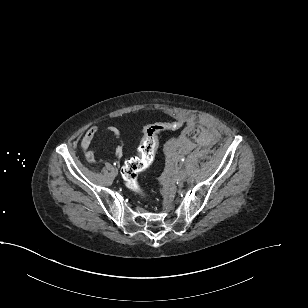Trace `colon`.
Segmentation results:
<instances>
[{
    "instance_id": "colon-1",
    "label": "colon",
    "mask_w": 308,
    "mask_h": 308,
    "mask_svg": "<svg viewBox=\"0 0 308 308\" xmlns=\"http://www.w3.org/2000/svg\"><path fill=\"white\" fill-rule=\"evenodd\" d=\"M181 125V121L174 120L155 123L144 128L138 155L127 160L122 168V177L131 191L144 198L147 196L138 183V175L152 164L159 144V134L178 129Z\"/></svg>"
}]
</instances>
